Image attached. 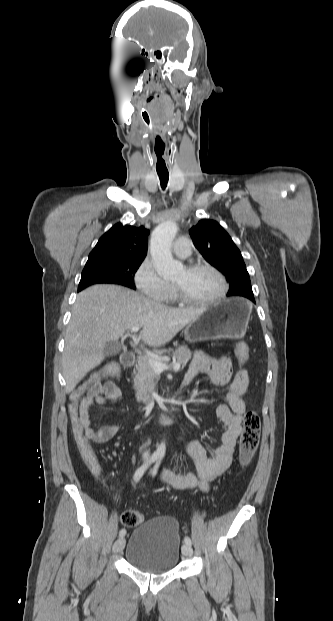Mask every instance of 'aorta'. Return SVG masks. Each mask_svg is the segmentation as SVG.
Returning a JSON list of instances; mask_svg holds the SVG:
<instances>
[{"mask_svg": "<svg viewBox=\"0 0 333 621\" xmlns=\"http://www.w3.org/2000/svg\"><path fill=\"white\" fill-rule=\"evenodd\" d=\"M178 227L174 221H165L159 224L151 235L150 253L158 274L164 279L174 278L183 272V264L175 261L171 253V243L176 236ZM165 442L157 447L156 454L164 457Z\"/></svg>", "mask_w": 333, "mask_h": 621, "instance_id": "obj_1", "label": "aorta"}]
</instances>
